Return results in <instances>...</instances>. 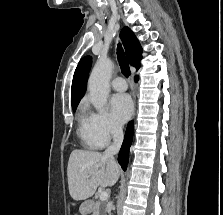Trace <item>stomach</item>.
<instances>
[{"instance_id":"stomach-1","label":"stomach","mask_w":223,"mask_h":215,"mask_svg":"<svg viewBox=\"0 0 223 215\" xmlns=\"http://www.w3.org/2000/svg\"><path fill=\"white\" fill-rule=\"evenodd\" d=\"M91 205H92L91 202L83 201V203H81L80 205L81 213H83V215H87V213H90V211H92V209H90Z\"/></svg>"}]
</instances>
